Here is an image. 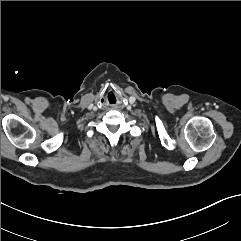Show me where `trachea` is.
Listing matches in <instances>:
<instances>
[{
  "mask_svg": "<svg viewBox=\"0 0 241 241\" xmlns=\"http://www.w3.org/2000/svg\"><path fill=\"white\" fill-rule=\"evenodd\" d=\"M111 98H114V95H111ZM111 103H114V100H111Z\"/></svg>",
  "mask_w": 241,
  "mask_h": 241,
  "instance_id": "trachea-1",
  "label": "trachea"
}]
</instances>
